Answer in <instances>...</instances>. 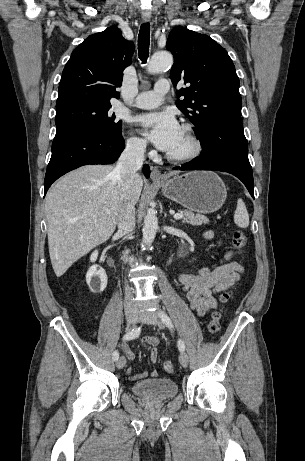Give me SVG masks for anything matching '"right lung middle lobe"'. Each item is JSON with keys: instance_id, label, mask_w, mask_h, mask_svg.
<instances>
[{"instance_id": "obj_1", "label": "right lung middle lobe", "mask_w": 305, "mask_h": 461, "mask_svg": "<svg viewBox=\"0 0 305 461\" xmlns=\"http://www.w3.org/2000/svg\"><path fill=\"white\" fill-rule=\"evenodd\" d=\"M110 103L79 102L56 108V130L75 127L106 134L121 132L122 122L111 115Z\"/></svg>"}]
</instances>
